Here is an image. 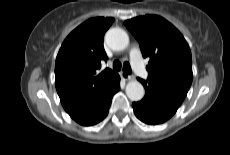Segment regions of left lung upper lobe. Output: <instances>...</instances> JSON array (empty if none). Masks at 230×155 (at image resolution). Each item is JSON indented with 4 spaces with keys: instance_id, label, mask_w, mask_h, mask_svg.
Segmentation results:
<instances>
[{
    "instance_id": "obj_1",
    "label": "left lung upper lobe",
    "mask_w": 230,
    "mask_h": 155,
    "mask_svg": "<svg viewBox=\"0 0 230 155\" xmlns=\"http://www.w3.org/2000/svg\"><path fill=\"white\" fill-rule=\"evenodd\" d=\"M125 26L138 40L143 57L150 59L147 81L183 101L193 79L191 51L183 35L157 15L127 20Z\"/></svg>"
}]
</instances>
